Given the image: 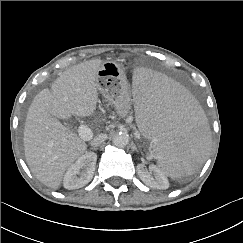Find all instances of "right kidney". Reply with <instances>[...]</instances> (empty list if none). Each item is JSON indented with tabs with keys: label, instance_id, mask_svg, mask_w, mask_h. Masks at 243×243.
<instances>
[{
	"label": "right kidney",
	"instance_id": "obj_1",
	"mask_svg": "<svg viewBox=\"0 0 243 243\" xmlns=\"http://www.w3.org/2000/svg\"><path fill=\"white\" fill-rule=\"evenodd\" d=\"M97 154L93 152L82 155L67 170L63 185L68 190L78 189L88 184L93 178Z\"/></svg>",
	"mask_w": 243,
	"mask_h": 243
}]
</instances>
